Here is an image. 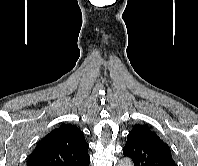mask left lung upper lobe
<instances>
[{
	"label": "left lung upper lobe",
	"mask_w": 198,
	"mask_h": 166,
	"mask_svg": "<svg viewBox=\"0 0 198 166\" xmlns=\"http://www.w3.org/2000/svg\"><path fill=\"white\" fill-rule=\"evenodd\" d=\"M123 154L132 158L134 166H176L169 146L144 125L129 132Z\"/></svg>",
	"instance_id": "5c2ea615"
}]
</instances>
